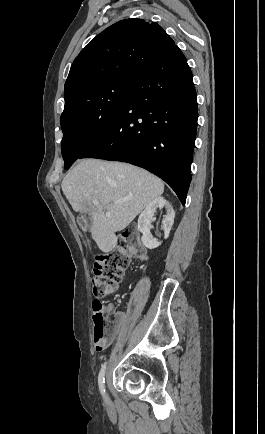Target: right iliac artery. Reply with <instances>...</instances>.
<instances>
[{"instance_id": "right-iliac-artery-1", "label": "right iliac artery", "mask_w": 265, "mask_h": 434, "mask_svg": "<svg viewBox=\"0 0 265 434\" xmlns=\"http://www.w3.org/2000/svg\"><path fill=\"white\" fill-rule=\"evenodd\" d=\"M105 369H106V363H104L102 365V368L99 372V376H98V384H99V389L101 391V394L104 396L105 394Z\"/></svg>"}]
</instances>
